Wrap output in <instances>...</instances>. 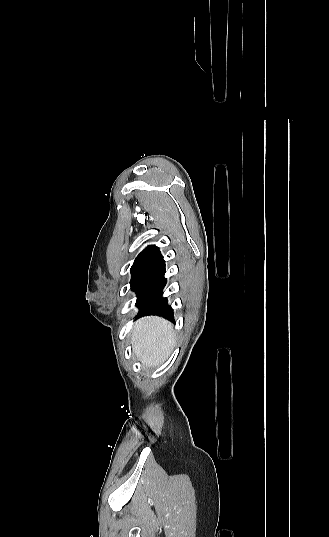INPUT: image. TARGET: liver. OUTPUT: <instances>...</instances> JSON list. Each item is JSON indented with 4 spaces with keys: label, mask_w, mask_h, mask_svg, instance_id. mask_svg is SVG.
I'll return each instance as SVG.
<instances>
[{
    "label": "liver",
    "mask_w": 329,
    "mask_h": 537,
    "mask_svg": "<svg viewBox=\"0 0 329 537\" xmlns=\"http://www.w3.org/2000/svg\"><path fill=\"white\" fill-rule=\"evenodd\" d=\"M131 336L133 353L146 366H157L164 362L175 345L172 324L156 316L138 320Z\"/></svg>",
    "instance_id": "obj_1"
}]
</instances>
